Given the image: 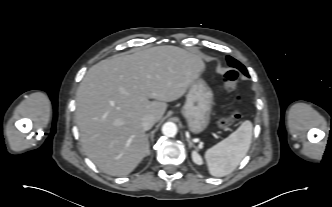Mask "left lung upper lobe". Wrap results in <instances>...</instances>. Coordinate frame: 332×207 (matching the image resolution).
I'll return each instance as SVG.
<instances>
[{
	"label": "left lung upper lobe",
	"mask_w": 332,
	"mask_h": 207,
	"mask_svg": "<svg viewBox=\"0 0 332 207\" xmlns=\"http://www.w3.org/2000/svg\"><path fill=\"white\" fill-rule=\"evenodd\" d=\"M227 61L229 66L233 67V68H237L239 69L243 74H245L246 76L248 75V72L246 70V68L237 60H235L234 58H232L231 56H227Z\"/></svg>",
	"instance_id": "1"
}]
</instances>
